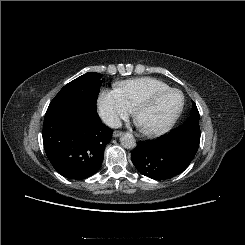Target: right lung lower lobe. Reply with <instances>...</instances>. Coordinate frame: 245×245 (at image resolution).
Masks as SVG:
<instances>
[{
    "label": "right lung lower lobe",
    "instance_id": "obj_1",
    "mask_svg": "<svg viewBox=\"0 0 245 245\" xmlns=\"http://www.w3.org/2000/svg\"><path fill=\"white\" fill-rule=\"evenodd\" d=\"M112 129L97 110L81 104L48 107L43 143L55 170L68 179H86L99 170Z\"/></svg>",
    "mask_w": 245,
    "mask_h": 245
}]
</instances>
